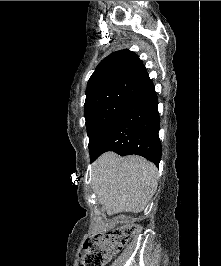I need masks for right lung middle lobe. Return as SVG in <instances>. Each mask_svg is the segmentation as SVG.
<instances>
[{
	"mask_svg": "<svg viewBox=\"0 0 221 266\" xmlns=\"http://www.w3.org/2000/svg\"><path fill=\"white\" fill-rule=\"evenodd\" d=\"M141 88L134 85L116 86L99 89L86 96L84 116L90 156Z\"/></svg>",
	"mask_w": 221,
	"mask_h": 266,
	"instance_id": "dd1d6c3e",
	"label": "right lung middle lobe"
}]
</instances>
